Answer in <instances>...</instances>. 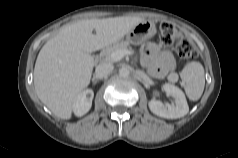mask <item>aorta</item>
<instances>
[{"instance_id": "aorta-1", "label": "aorta", "mask_w": 238, "mask_h": 158, "mask_svg": "<svg viewBox=\"0 0 238 158\" xmlns=\"http://www.w3.org/2000/svg\"><path fill=\"white\" fill-rule=\"evenodd\" d=\"M129 74H130V71H129L128 68L122 67V68L119 69V75H120V77L126 78V77L129 76Z\"/></svg>"}]
</instances>
